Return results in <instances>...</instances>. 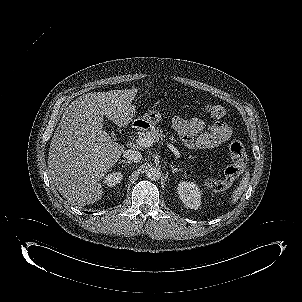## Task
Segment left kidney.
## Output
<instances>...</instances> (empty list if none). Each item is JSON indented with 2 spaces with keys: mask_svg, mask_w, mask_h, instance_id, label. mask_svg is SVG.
<instances>
[{
  "mask_svg": "<svg viewBox=\"0 0 302 302\" xmlns=\"http://www.w3.org/2000/svg\"><path fill=\"white\" fill-rule=\"evenodd\" d=\"M180 200L189 209H198L201 205V191L194 182L181 181L177 187Z\"/></svg>",
  "mask_w": 302,
  "mask_h": 302,
  "instance_id": "5707ae66",
  "label": "left kidney"
}]
</instances>
